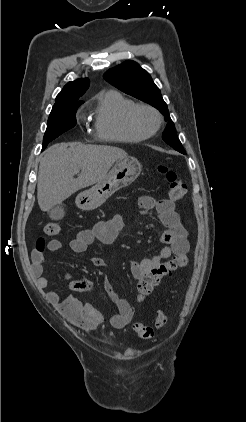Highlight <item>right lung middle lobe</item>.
Listing matches in <instances>:
<instances>
[{
	"label": "right lung middle lobe",
	"mask_w": 246,
	"mask_h": 422,
	"mask_svg": "<svg viewBox=\"0 0 246 422\" xmlns=\"http://www.w3.org/2000/svg\"><path fill=\"white\" fill-rule=\"evenodd\" d=\"M83 103L53 107L48 118L47 129L43 138V149L49 142L76 125V111Z\"/></svg>",
	"instance_id": "obj_1"
}]
</instances>
